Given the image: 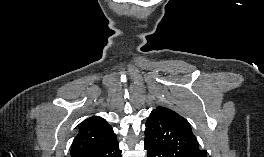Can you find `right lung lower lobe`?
<instances>
[{
    "label": "right lung lower lobe",
    "mask_w": 264,
    "mask_h": 157,
    "mask_svg": "<svg viewBox=\"0 0 264 157\" xmlns=\"http://www.w3.org/2000/svg\"><path fill=\"white\" fill-rule=\"evenodd\" d=\"M84 157H121V150L117 139H115L108 145L86 154Z\"/></svg>",
    "instance_id": "obj_1"
}]
</instances>
